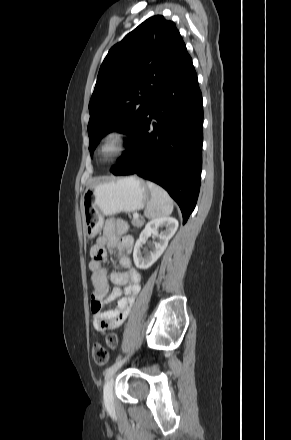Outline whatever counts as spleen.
Returning <instances> with one entry per match:
<instances>
[{
	"label": "spleen",
	"mask_w": 291,
	"mask_h": 440,
	"mask_svg": "<svg viewBox=\"0 0 291 440\" xmlns=\"http://www.w3.org/2000/svg\"><path fill=\"white\" fill-rule=\"evenodd\" d=\"M151 199L147 203L144 214L149 219L168 216L173 211V201L169 194L160 186L147 181Z\"/></svg>",
	"instance_id": "3e777b00"
}]
</instances>
